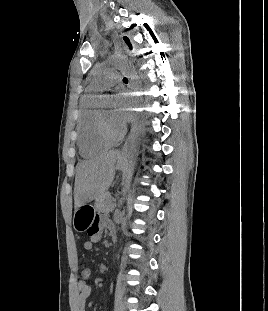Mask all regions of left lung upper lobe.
<instances>
[{
  "label": "left lung upper lobe",
  "instance_id": "1",
  "mask_svg": "<svg viewBox=\"0 0 268 311\" xmlns=\"http://www.w3.org/2000/svg\"><path fill=\"white\" fill-rule=\"evenodd\" d=\"M124 40L127 43V45L129 46V48L132 49V45H131L129 39L127 37H124Z\"/></svg>",
  "mask_w": 268,
  "mask_h": 311
}]
</instances>
